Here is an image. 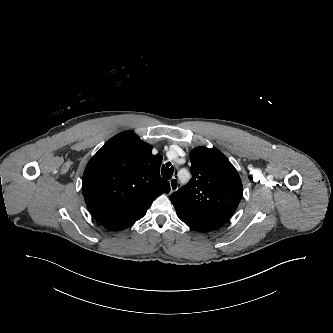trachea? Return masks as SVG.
Segmentation results:
<instances>
[{"instance_id": "3493384b", "label": "trachea", "mask_w": 333, "mask_h": 333, "mask_svg": "<svg viewBox=\"0 0 333 333\" xmlns=\"http://www.w3.org/2000/svg\"><path fill=\"white\" fill-rule=\"evenodd\" d=\"M173 166L171 167V163L167 162L166 165L162 166L161 174L165 179H170L173 175Z\"/></svg>"}]
</instances>
